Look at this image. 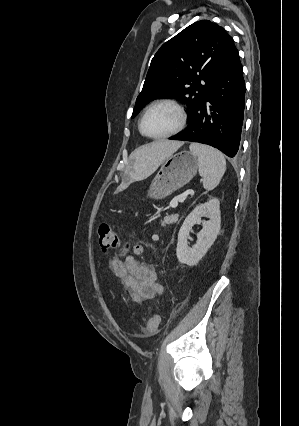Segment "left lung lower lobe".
<instances>
[{
	"label": "left lung lower lobe",
	"instance_id": "0a47b994",
	"mask_svg": "<svg viewBox=\"0 0 299 426\" xmlns=\"http://www.w3.org/2000/svg\"><path fill=\"white\" fill-rule=\"evenodd\" d=\"M245 82L238 51H234L208 87L188 127L171 140L213 146L229 157L239 152L245 108Z\"/></svg>",
	"mask_w": 299,
	"mask_h": 426
}]
</instances>
